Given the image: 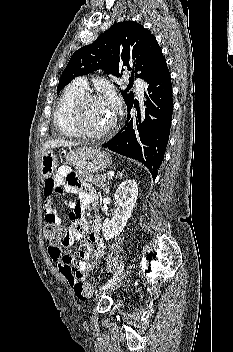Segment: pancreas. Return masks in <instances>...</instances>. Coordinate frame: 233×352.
Returning <instances> with one entry per match:
<instances>
[{
  "label": "pancreas",
  "mask_w": 233,
  "mask_h": 352,
  "mask_svg": "<svg viewBox=\"0 0 233 352\" xmlns=\"http://www.w3.org/2000/svg\"><path fill=\"white\" fill-rule=\"evenodd\" d=\"M78 177L84 179L85 181L92 182L100 188L104 187L106 185V182L110 180V177L106 175L98 174L93 176L82 171L78 172Z\"/></svg>",
  "instance_id": "cf45deb5"
}]
</instances>
